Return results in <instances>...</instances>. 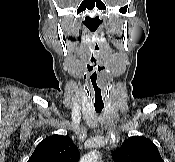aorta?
<instances>
[{
    "label": "aorta",
    "mask_w": 175,
    "mask_h": 162,
    "mask_svg": "<svg viewBox=\"0 0 175 162\" xmlns=\"http://www.w3.org/2000/svg\"><path fill=\"white\" fill-rule=\"evenodd\" d=\"M99 156L100 155L98 151H92L84 155L80 162H98Z\"/></svg>",
    "instance_id": "aorta-1"
}]
</instances>
